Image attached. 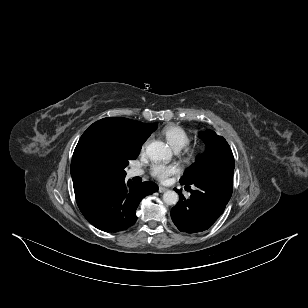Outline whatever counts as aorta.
Segmentation results:
<instances>
[{"label": "aorta", "instance_id": "obj_1", "mask_svg": "<svg viewBox=\"0 0 308 308\" xmlns=\"http://www.w3.org/2000/svg\"><path fill=\"white\" fill-rule=\"evenodd\" d=\"M146 154L152 161H166L172 157L169 146L159 141L150 143L146 148ZM178 199L179 196L175 191L169 190L163 194V201L167 205H175Z\"/></svg>", "mask_w": 308, "mask_h": 308}]
</instances>
